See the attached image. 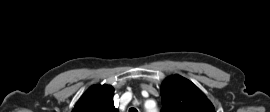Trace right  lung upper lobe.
Wrapping results in <instances>:
<instances>
[{
    "label": "right lung upper lobe",
    "mask_w": 270,
    "mask_h": 112,
    "mask_svg": "<svg viewBox=\"0 0 270 112\" xmlns=\"http://www.w3.org/2000/svg\"><path fill=\"white\" fill-rule=\"evenodd\" d=\"M114 88L110 85H93L79 99L72 112H119L114 107Z\"/></svg>",
    "instance_id": "1"
}]
</instances>
